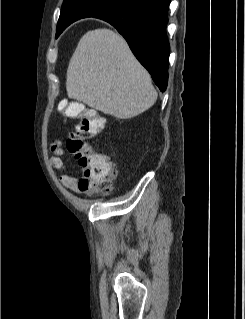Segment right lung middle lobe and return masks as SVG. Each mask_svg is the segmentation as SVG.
<instances>
[{
	"label": "right lung middle lobe",
	"instance_id": "dd1d6c3e",
	"mask_svg": "<svg viewBox=\"0 0 245 319\" xmlns=\"http://www.w3.org/2000/svg\"><path fill=\"white\" fill-rule=\"evenodd\" d=\"M126 0H84L80 1L79 5L83 7L86 11L92 14L91 17H94L104 11L115 8L116 6L124 3ZM63 10V7L62 9ZM64 30L57 29V33H61Z\"/></svg>",
	"mask_w": 245,
	"mask_h": 319
}]
</instances>
